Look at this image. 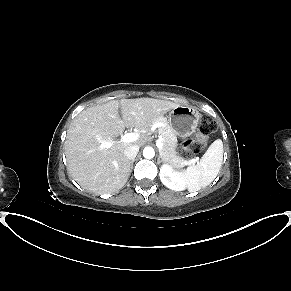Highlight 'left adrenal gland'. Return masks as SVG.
Listing matches in <instances>:
<instances>
[{
    "label": "left adrenal gland",
    "mask_w": 291,
    "mask_h": 291,
    "mask_svg": "<svg viewBox=\"0 0 291 291\" xmlns=\"http://www.w3.org/2000/svg\"><path fill=\"white\" fill-rule=\"evenodd\" d=\"M160 158H161V157L158 158V163H160ZM161 161H163V159H161ZM163 162H164V161H163Z\"/></svg>",
    "instance_id": "1"
}]
</instances>
